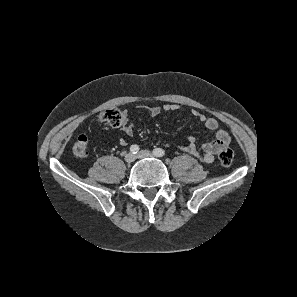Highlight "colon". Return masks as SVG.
<instances>
[{
  "label": "colon",
  "mask_w": 297,
  "mask_h": 297,
  "mask_svg": "<svg viewBox=\"0 0 297 297\" xmlns=\"http://www.w3.org/2000/svg\"><path fill=\"white\" fill-rule=\"evenodd\" d=\"M100 120L112 127H119L123 123L124 114L117 108L107 109L100 114ZM88 138L85 135L78 136L73 145V153L78 158H84L88 154ZM219 162L222 166L228 167L232 164L234 153L231 149H224L219 153Z\"/></svg>",
  "instance_id": "colon-1"
}]
</instances>
